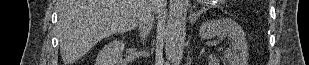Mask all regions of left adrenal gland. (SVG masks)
Here are the masks:
<instances>
[{
    "label": "left adrenal gland",
    "instance_id": "1",
    "mask_svg": "<svg viewBox=\"0 0 309 65\" xmlns=\"http://www.w3.org/2000/svg\"><path fill=\"white\" fill-rule=\"evenodd\" d=\"M201 15V12L199 11H193L192 14L190 15V23L191 25H193L197 19L199 18V16Z\"/></svg>",
    "mask_w": 309,
    "mask_h": 65
}]
</instances>
